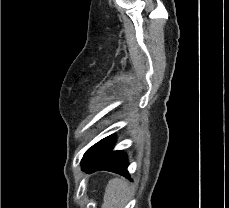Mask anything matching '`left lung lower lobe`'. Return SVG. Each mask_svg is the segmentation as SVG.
<instances>
[{
    "label": "left lung lower lobe",
    "instance_id": "obj_1",
    "mask_svg": "<svg viewBox=\"0 0 229 208\" xmlns=\"http://www.w3.org/2000/svg\"><path fill=\"white\" fill-rule=\"evenodd\" d=\"M114 144L115 137L108 136L92 146L81 161L82 170L87 173L107 170L130 179L127 155L121 150L112 151Z\"/></svg>",
    "mask_w": 229,
    "mask_h": 208
}]
</instances>
